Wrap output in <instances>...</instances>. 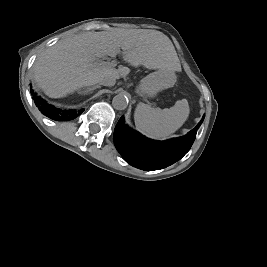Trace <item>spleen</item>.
Here are the masks:
<instances>
[{"label":"spleen","instance_id":"obj_1","mask_svg":"<svg viewBox=\"0 0 267 267\" xmlns=\"http://www.w3.org/2000/svg\"><path fill=\"white\" fill-rule=\"evenodd\" d=\"M188 115L189 108L184 99L165 109L139 103L135 109L134 120L136 129L146 137L165 140L184 124Z\"/></svg>","mask_w":267,"mask_h":267}]
</instances>
